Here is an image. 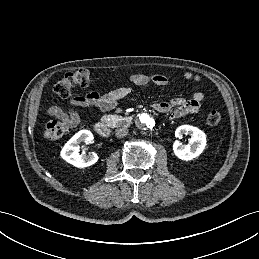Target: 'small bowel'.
Here are the masks:
<instances>
[{
    "mask_svg": "<svg viewBox=\"0 0 259 259\" xmlns=\"http://www.w3.org/2000/svg\"><path fill=\"white\" fill-rule=\"evenodd\" d=\"M183 76L188 80L196 82L201 80L200 76L191 72H186ZM130 81L139 88H145L149 84L162 87L168 83V79L165 75H147L144 73L132 74L130 76ZM129 93V87H118L103 95L96 89H90L84 95L70 99V107L68 109L54 106L48 110V113L61 121L68 122L70 126H75L79 123V115L74 108L96 106L102 111H110L114 109L118 105L119 101L125 98ZM203 99L204 94L202 92H195L189 99L173 98L170 101L155 102L153 104V108L160 113H167L172 110L171 118L178 119L185 115L198 112Z\"/></svg>",
    "mask_w": 259,
    "mask_h": 259,
    "instance_id": "obj_1",
    "label": "small bowel"
}]
</instances>
